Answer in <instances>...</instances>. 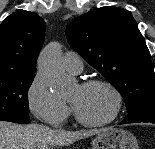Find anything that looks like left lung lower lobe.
<instances>
[{"label":"left lung lower lobe","mask_w":155,"mask_h":149,"mask_svg":"<svg viewBox=\"0 0 155 149\" xmlns=\"http://www.w3.org/2000/svg\"><path fill=\"white\" fill-rule=\"evenodd\" d=\"M155 123V101H152L145 108L132 114H128L119 124L129 123Z\"/></svg>","instance_id":"obj_1"}]
</instances>
